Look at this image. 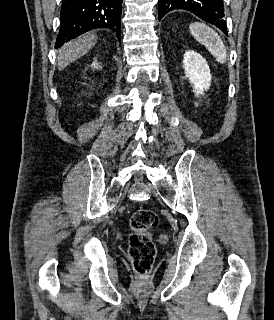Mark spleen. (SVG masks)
<instances>
[{
  "mask_svg": "<svg viewBox=\"0 0 274 320\" xmlns=\"http://www.w3.org/2000/svg\"><path fill=\"white\" fill-rule=\"evenodd\" d=\"M189 30L195 40L199 44H203L219 64H225L227 56L225 46L215 30L206 26V24H199V22L190 24Z\"/></svg>",
  "mask_w": 274,
  "mask_h": 320,
  "instance_id": "1",
  "label": "spleen"
}]
</instances>
